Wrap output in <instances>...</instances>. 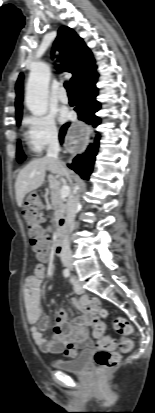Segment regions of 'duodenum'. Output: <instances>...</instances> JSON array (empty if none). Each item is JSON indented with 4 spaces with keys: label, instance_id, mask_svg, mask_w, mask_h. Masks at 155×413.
I'll use <instances>...</instances> for the list:
<instances>
[{
    "label": "duodenum",
    "instance_id": "410a0bca",
    "mask_svg": "<svg viewBox=\"0 0 155 413\" xmlns=\"http://www.w3.org/2000/svg\"><path fill=\"white\" fill-rule=\"evenodd\" d=\"M65 231H66L65 222L61 221L57 226L56 243H55L56 254L60 257L64 255V235H65Z\"/></svg>",
    "mask_w": 155,
    "mask_h": 413
}]
</instances>
